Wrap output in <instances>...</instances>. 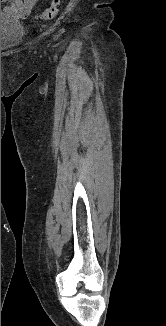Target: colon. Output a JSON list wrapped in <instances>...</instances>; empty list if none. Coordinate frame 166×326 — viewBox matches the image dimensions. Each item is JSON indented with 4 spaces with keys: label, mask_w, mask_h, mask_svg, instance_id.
Segmentation results:
<instances>
[{
    "label": "colon",
    "mask_w": 166,
    "mask_h": 326,
    "mask_svg": "<svg viewBox=\"0 0 166 326\" xmlns=\"http://www.w3.org/2000/svg\"><path fill=\"white\" fill-rule=\"evenodd\" d=\"M61 0H52L50 6L38 13L37 18L40 20H53L59 11Z\"/></svg>",
    "instance_id": "1"
}]
</instances>
